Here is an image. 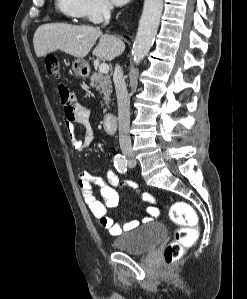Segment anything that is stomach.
I'll return each mask as SVG.
<instances>
[{
	"instance_id": "0dacf381",
	"label": "stomach",
	"mask_w": 247,
	"mask_h": 299,
	"mask_svg": "<svg viewBox=\"0 0 247 299\" xmlns=\"http://www.w3.org/2000/svg\"><path fill=\"white\" fill-rule=\"evenodd\" d=\"M72 70L77 77L81 78H86L90 72L89 64L81 58L75 59L73 61Z\"/></svg>"
}]
</instances>
